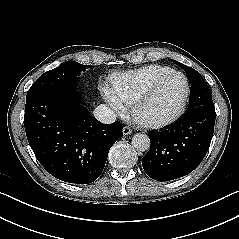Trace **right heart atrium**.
<instances>
[{
	"instance_id": "d8ad5b80",
	"label": "right heart atrium",
	"mask_w": 239,
	"mask_h": 239,
	"mask_svg": "<svg viewBox=\"0 0 239 239\" xmlns=\"http://www.w3.org/2000/svg\"><path fill=\"white\" fill-rule=\"evenodd\" d=\"M104 98L107 100L111 108L118 114H124L126 111L125 105L116 97L112 89L107 87L102 88Z\"/></svg>"
}]
</instances>
